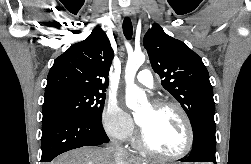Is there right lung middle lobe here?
<instances>
[{"mask_svg":"<svg viewBox=\"0 0 251 164\" xmlns=\"http://www.w3.org/2000/svg\"><path fill=\"white\" fill-rule=\"evenodd\" d=\"M105 93L75 88H58L46 91L43 118L50 115H70L101 121Z\"/></svg>","mask_w":251,"mask_h":164,"instance_id":"dd1d6c3e","label":"right lung middle lobe"}]
</instances>
